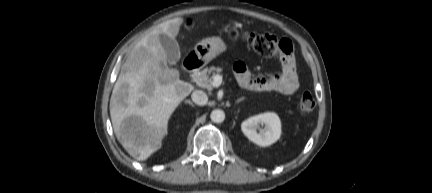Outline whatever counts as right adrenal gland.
<instances>
[{"label":"right adrenal gland","mask_w":432,"mask_h":193,"mask_svg":"<svg viewBox=\"0 0 432 193\" xmlns=\"http://www.w3.org/2000/svg\"><path fill=\"white\" fill-rule=\"evenodd\" d=\"M185 103H188L191 106H194V104L190 100H186Z\"/></svg>","instance_id":"obj_1"}]
</instances>
